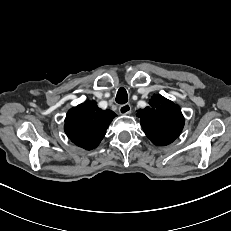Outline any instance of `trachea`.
<instances>
[{
	"label": "trachea",
	"instance_id": "obj_1",
	"mask_svg": "<svg viewBox=\"0 0 231 231\" xmlns=\"http://www.w3.org/2000/svg\"><path fill=\"white\" fill-rule=\"evenodd\" d=\"M128 101V94L125 88H119L117 95H116V102L118 104H125Z\"/></svg>",
	"mask_w": 231,
	"mask_h": 231
}]
</instances>
